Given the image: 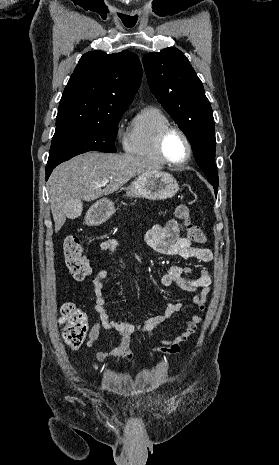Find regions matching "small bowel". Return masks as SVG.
Wrapping results in <instances>:
<instances>
[{
    "label": "small bowel",
    "instance_id": "1",
    "mask_svg": "<svg viewBox=\"0 0 279 465\" xmlns=\"http://www.w3.org/2000/svg\"><path fill=\"white\" fill-rule=\"evenodd\" d=\"M145 240L151 248L164 255L179 256L184 259H196L201 262H210L213 260L212 251L194 246L191 240L185 235L183 226L177 220H170L165 225L152 226L147 231ZM117 247L118 243L113 238L106 239L100 244V250L108 255H112L117 250ZM193 273L194 270L192 268L174 264L162 276L161 282L164 287L174 284L183 290L193 292V304L198 309L204 310L210 291L212 276L207 269H201L195 277L185 276V274ZM107 278L108 272L100 269L92 279L95 294L94 309L99 314L100 322L92 326L86 346L88 348L93 346V343L99 338L102 328L115 331L119 335L120 340L111 351L98 352L96 354L98 362L107 360H125L131 362L133 360V353L129 349V344L132 335L135 333H143L149 339L159 344V348L156 349L157 353H179L183 345L196 333L198 325L204 322V317L192 315L178 335L170 340L158 339L154 334V330L180 311L182 308L180 302L169 304L164 313L152 316L141 324L116 321L105 308L104 282ZM93 366L95 370H98L96 363Z\"/></svg>",
    "mask_w": 279,
    "mask_h": 465
}]
</instances>
